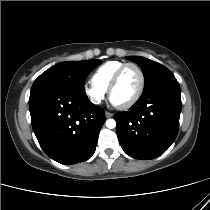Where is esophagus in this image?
Returning <instances> with one entry per match:
<instances>
[{
	"instance_id": "obj_1",
	"label": "esophagus",
	"mask_w": 210,
	"mask_h": 210,
	"mask_svg": "<svg viewBox=\"0 0 210 210\" xmlns=\"http://www.w3.org/2000/svg\"><path fill=\"white\" fill-rule=\"evenodd\" d=\"M105 116H106V118H111V117H113V114L108 112V111H106L105 112Z\"/></svg>"
}]
</instances>
